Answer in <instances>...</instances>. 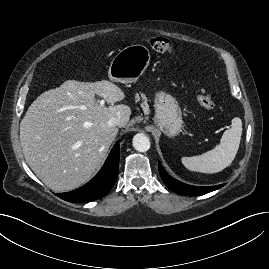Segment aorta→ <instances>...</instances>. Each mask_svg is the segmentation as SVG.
<instances>
[{
	"mask_svg": "<svg viewBox=\"0 0 269 269\" xmlns=\"http://www.w3.org/2000/svg\"><path fill=\"white\" fill-rule=\"evenodd\" d=\"M133 147L135 150L139 152H146L150 149V140L149 138L143 134V133H138L133 137Z\"/></svg>",
	"mask_w": 269,
	"mask_h": 269,
	"instance_id": "762f6f07",
	"label": "aorta"
}]
</instances>
